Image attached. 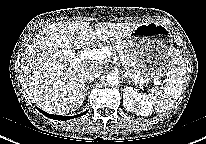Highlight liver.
Listing matches in <instances>:
<instances>
[{"label": "liver", "instance_id": "6515ba94", "mask_svg": "<svg viewBox=\"0 0 206 144\" xmlns=\"http://www.w3.org/2000/svg\"><path fill=\"white\" fill-rule=\"evenodd\" d=\"M139 24L99 22L53 23L40 31L23 55L21 79L29 97L50 113L65 115L82 106L86 95V71L106 61L80 60L64 50L82 48L97 39L120 41ZM73 52V51H72Z\"/></svg>", "mask_w": 206, "mask_h": 144}]
</instances>
